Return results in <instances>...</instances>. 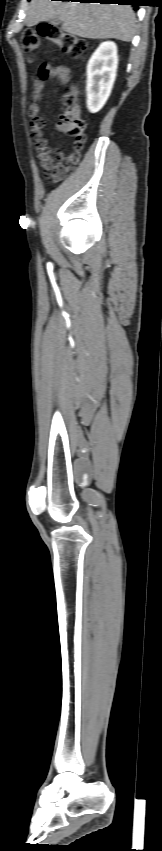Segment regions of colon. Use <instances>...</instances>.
Returning a JSON list of instances; mask_svg holds the SVG:
<instances>
[{"mask_svg":"<svg viewBox=\"0 0 162 851\" xmlns=\"http://www.w3.org/2000/svg\"><path fill=\"white\" fill-rule=\"evenodd\" d=\"M41 37L46 38L53 45L57 46L63 53L77 59L82 58L89 50V44L86 40L65 32L56 25L47 24L42 26L38 31L28 29L22 32L20 38L21 46L29 59L39 49ZM64 103L66 108L60 116L59 123L63 127V131L74 139V146L68 161L61 164L54 171L52 178L55 181H61L68 175L74 164L79 160L85 142L84 131L86 123L81 118L79 110L75 106L74 95L71 93L66 94L64 96Z\"/></svg>","mask_w":162,"mask_h":851,"instance_id":"1","label":"colon"}]
</instances>
